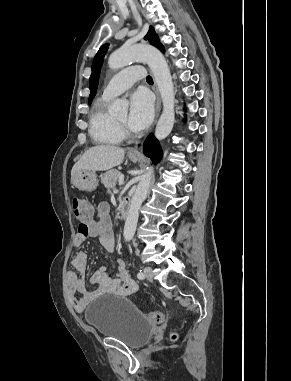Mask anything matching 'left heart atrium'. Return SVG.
<instances>
[{
    "mask_svg": "<svg viewBox=\"0 0 291 381\" xmlns=\"http://www.w3.org/2000/svg\"><path fill=\"white\" fill-rule=\"evenodd\" d=\"M154 115L153 100L144 90L134 92L130 98V111L128 126L133 131L145 129L152 121Z\"/></svg>",
    "mask_w": 291,
    "mask_h": 381,
    "instance_id": "1",
    "label": "left heart atrium"
}]
</instances>
